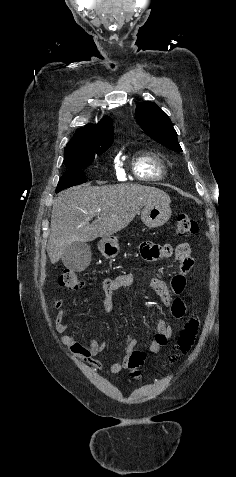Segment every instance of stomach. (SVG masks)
I'll use <instances>...</instances> for the list:
<instances>
[{
	"mask_svg": "<svg viewBox=\"0 0 236 477\" xmlns=\"http://www.w3.org/2000/svg\"><path fill=\"white\" fill-rule=\"evenodd\" d=\"M170 216V206L164 202L147 204L141 211V220L148 228L162 226ZM98 249L106 258H115L120 252L119 241L114 236L103 237L98 244Z\"/></svg>",
	"mask_w": 236,
	"mask_h": 477,
	"instance_id": "stomach-1",
	"label": "stomach"
}]
</instances>
